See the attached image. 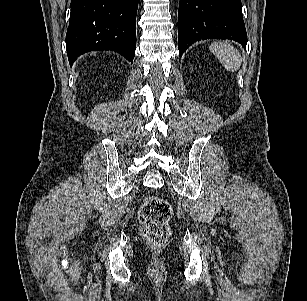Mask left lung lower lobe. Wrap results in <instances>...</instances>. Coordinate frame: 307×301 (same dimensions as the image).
<instances>
[{"mask_svg":"<svg viewBox=\"0 0 307 301\" xmlns=\"http://www.w3.org/2000/svg\"><path fill=\"white\" fill-rule=\"evenodd\" d=\"M204 39H230L246 47L241 0H180L179 56L192 43Z\"/></svg>","mask_w":307,"mask_h":301,"instance_id":"0a47b994","label":"left lung lower lobe"}]
</instances>
